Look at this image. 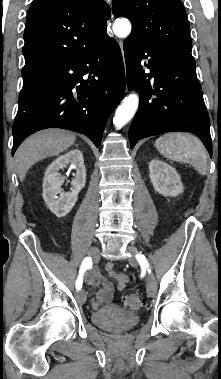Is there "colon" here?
I'll return each mask as SVG.
<instances>
[{"mask_svg": "<svg viewBox=\"0 0 221 379\" xmlns=\"http://www.w3.org/2000/svg\"><path fill=\"white\" fill-rule=\"evenodd\" d=\"M143 302H144V300L138 295H128V296L123 298L121 304L124 307L136 309V308H139L140 306H142Z\"/></svg>", "mask_w": 221, "mask_h": 379, "instance_id": "1", "label": "colon"}]
</instances>
